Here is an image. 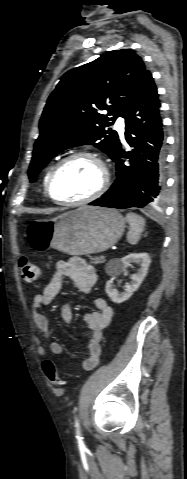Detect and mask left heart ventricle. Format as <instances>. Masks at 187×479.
<instances>
[{"label": "left heart ventricle", "instance_id": "b2bd125f", "mask_svg": "<svg viewBox=\"0 0 187 479\" xmlns=\"http://www.w3.org/2000/svg\"><path fill=\"white\" fill-rule=\"evenodd\" d=\"M102 172L91 159L77 158L63 165L54 176L52 193L59 200H78L92 194L100 185Z\"/></svg>", "mask_w": 187, "mask_h": 479}]
</instances>
